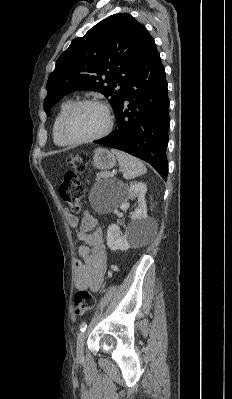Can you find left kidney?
Masks as SVG:
<instances>
[{
    "instance_id": "5707ae66",
    "label": "left kidney",
    "mask_w": 232,
    "mask_h": 399,
    "mask_svg": "<svg viewBox=\"0 0 232 399\" xmlns=\"http://www.w3.org/2000/svg\"><path fill=\"white\" fill-rule=\"evenodd\" d=\"M121 209H128V200L138 198V207L132 211L131 221L126 227L124 235L120 233L119 225L111 223L107 229V245L110 249H129L139 245L141 241L147 239L150 231V217L147 213L145 194L147 192L146 184L142 182H131L130 186L123 184L121 190Z\"/></svg>"
}]
</instances>
